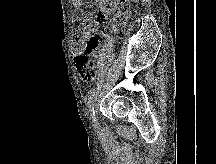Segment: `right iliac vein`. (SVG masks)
Here are the masks:
<instances>
[{
    "label": "right iliac vein",
    "mask_w": 216,
    "mask_h": 164,
    "mask_svg": "<svg viewBox=\"0 0 216 164\" xmlns=\"http://www.w3.org/2000/svg\"><path fill=\"white\" fill-rule=\"evenodd\" d=\"M96 107H97V105L96 104H94V108L96 109ZM94 122H96V119H95V121Z\"/></svg>",
    "instance_id": "1"
}]
</instances>
